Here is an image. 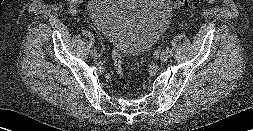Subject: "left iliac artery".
I'll use <instances>...</instances> for the list:
<instances>
[{
  "label": "left iliac artery",
  "mask_w": 253,
  "mask_h": 131,
  "mask_svg": "<svg viewBox=\"0 0 253 131\" xmlns=\"http://www.w3.org/2000/svg\"><path fill=\"white\" fill-rule=\"evenodd\" d=\"M157 51H158V52H162V53L169 54V53L172 51V47H171L170 45H167L166 47H165V46L158 47V48H157ZM172 55H173V54H172Z\"/></svg>",
  "instance_id": "1"
}]
</instances>
